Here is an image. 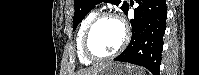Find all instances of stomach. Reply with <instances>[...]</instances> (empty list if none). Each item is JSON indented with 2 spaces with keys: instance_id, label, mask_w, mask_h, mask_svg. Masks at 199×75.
Listing matches in <instances>:
<instances>
[{
  "instance_id": "stomach-1",
  "label": "stomach",
  "mask_w": 199,
  "mask_h": 75,
  "mask_svg": "<svg viewBox=\"0 0 199 75\" xmlns=\"http://www.w3.org/2000/svg\"><path fill=\"white\" fill-rule=\"evenodd\" d=\"M96 75H144V70L123 63H110Z\"/></svg>"
}]
</instances>
